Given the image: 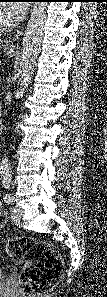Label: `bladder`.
Masks as SVG:
<instances>
[{
    "instance_id": "obj_1",
    "label": "bladder",
    "mask_w": 107,
    "mask_h": 297,
    "mask_svg": "<svg viewBox=\"0 0 107 297\" xmlns=\"http://www.w3.org/2000/svg\"><path fill=\"white\" fill-rule=\"evenodd\" d=\"M3 277H4L3 273H2V272H0V279L2 280V279H3Z\"/></svg>"
}]
</instances>
